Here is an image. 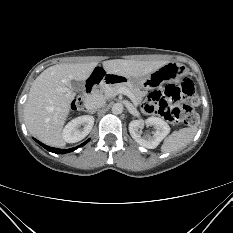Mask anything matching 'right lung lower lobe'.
Instances as JSON below:
<instances>
[{
	"mask_svg": "<svg viewBox=\"0 0 233 233\" xmlns=\"http://www.w3.org/2000/svg\"><path fill=\"white\" fill-rule=\"evenodd\" d=\"M36 142H38L41 146H43L45 149H47L50 152L53 153H57V154H65L71 151H74L75 149H77L78 147L75 148H71V149H58V148H53V147H48L47 145H44L43 143L39 142L38 140L35 139ZM89 140H87L86 142H84L83 144H81L80 146L85 145Z\"/></svg>",
	"mask_w": 233,
	"mask_h": 233,
	"instance_id": "obj_1",
	"label": "right lung lower lobe"
}]
</instances>
